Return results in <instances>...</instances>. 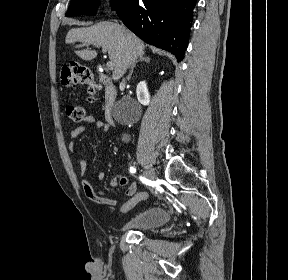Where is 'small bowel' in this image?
Returning <instances> with one entry per match:
<instances>
[{
    "label": "small bowel",
    "mask_w": 288,
    "mask_h": 280,
    "mask_svg": "<svg viewBox=\"0 0 288 280\" xmlns=\"http://www.w3.org/2000/svg\"><path fill=\"white\" fill-rule=\"evenodd\" d=\"M89 125H93L94 127L106 132L109 129V126L101 120H98L94 116H87L84 118L83 125L74 128L70 131L71 138H77L79 135L84 133ZM76 145L74 142L69 144V150L71 152H75ZM80 164V176H81V187L85 197L93 202L94 204L113 207L117 205L118 199L108 192L96 189L92 186V184L85 178V173L87 170L88 158L84 155L79 158ZM106 178V174L104 172H99L97 175L98 181H103ZM116 187L125 188V197L127 200L123 203L120 210L131 200H133L139 193L137 192V185L135 182H129L127 177L122 174H116L112 177L110 181V189H114ZM137 202H135L132 206L127 208L122 212H127L133 206H135Z\"/></svg>",
    "instance_id": "1"
}]
</instances>
